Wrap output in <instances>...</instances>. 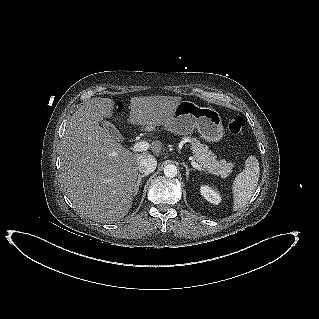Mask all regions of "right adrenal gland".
Instances as JSON below:
<instances>
[{
  "label": "right adrenal gland",
  "mask_w": 319,
  "mask_h": 319,
  "mask_svg": "<svg viewBox=\"0 0 319 319\" xmlns=\"http://www.w3.org/2000/svg\"><path fill=\"white\" fill-rule=\"evenodd\" d=\"M146 177V175H138V180H137V183L134 187V195H137L138 191H139V187L141 185V180L142 178Z\"/></svg>",
  "instance_id": "2a0ac1e0"
}]
</instances>
